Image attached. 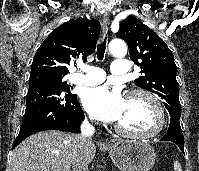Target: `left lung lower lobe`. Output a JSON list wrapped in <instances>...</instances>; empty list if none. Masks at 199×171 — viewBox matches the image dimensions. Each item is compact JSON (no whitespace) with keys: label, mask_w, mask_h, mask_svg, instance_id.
Wrapping results in <instances>:
<instances>
[{"label":"left lung lower lobe","mask_w":199,"mask_h":171,"mask_svg":"<svg viewBox=\"0 0 199 171\" xmlns=\"http://www.w3.org/2000/svg\"><path fill=\"white\" fill-rule=\"evenodd\" d=\"M179 117L171 116L170 125L167 134L164 135L161 140L171 141L179 146V148L184 152V137L182 134Z\"/></svg>","instance_id":"left-lung-lower-lobe-1"}]
</instances>
